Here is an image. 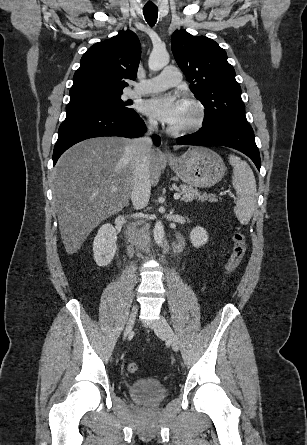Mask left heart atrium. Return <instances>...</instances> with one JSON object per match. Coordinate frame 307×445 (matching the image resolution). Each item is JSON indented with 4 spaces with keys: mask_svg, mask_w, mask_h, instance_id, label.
Returning <instances> with one entry per match:
<instances>
[{
    "mask_svg": "<svg viewBox=\"0 0 307 445\" xmlns=\"http://www.w3.org/2000/svg\"><path fill=\"white\" fill-rule=\"evenodd\" d=\"M186 101L176 92L161 91L142 104V110L159 120L173 125L181 119L186 110Z\"/></svg>",
    "mask_w": 307,
    "mask_h": 445,
    "instance_id": "39dd6f15",
    "label": "left heart atrium"
}]
</instances>
